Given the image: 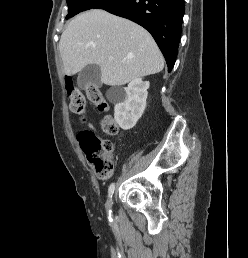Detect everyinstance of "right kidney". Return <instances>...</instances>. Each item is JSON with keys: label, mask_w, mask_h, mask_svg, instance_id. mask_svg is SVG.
Instances as JSON below:
<instances>
[{"label": "right kidney", "mask_w": 248, "mask_h": 258, "mask_svg": "<svg viewBox=\"0 0 248 258\" xmlns=\"http://www.w3.org/2000/svg\"><path fill=\"white\" fill-rule=\"evenodd\" d=\"M148 88V81L136 78L124 89L115 88L108 91L107 97L116 103L115 121L123 130L133 128L142 116L146 107Z\"/></svg>", "instance_id": "ca27d5eb"}]
</instances>
